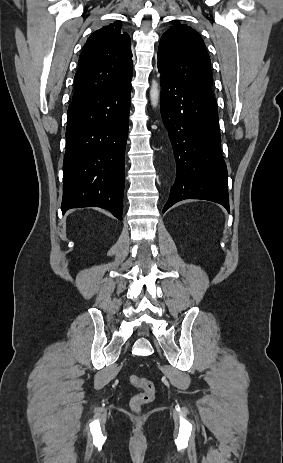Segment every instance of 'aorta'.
<instances>
[{
  "mask_svg": "<svg viewBox=\"0 0 283 463\" xmlns=\"http://www.w3.org/2000/svg\"><path fill=\"white\" fill-rule=\"evenodd\" d=\"M159 95H160L159 83L156 80H154L152 82L151 89H150L151 104L154 108L158 106Z\"/></svg>",
  "mask_w": 283,
  "mask_h": 463,
  "instance_id": "762f6f07",
  "label": "aorta"
}]
</instances>
